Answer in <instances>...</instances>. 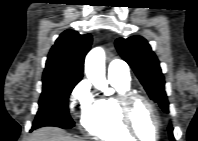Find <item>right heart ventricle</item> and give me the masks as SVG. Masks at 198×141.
<instances>
[{
  "instance_id": "e07e8e85",
  "label": "right heart ventricle",
  "mask_w": 198,
  "mask_h": 141,
  "mask_svg": "<svg viewBox=\"0 0 198 141\" xmlns=\"http://www.w3.org/2000/svg\"><path fill=\"white\" fill-rule=\"evenodd\" d=\"M117 94L93 102L83 118V127L92 136L104 141H132L133 136L123 126L117 105V97L130 91V83L110 80Z\"/></svg>"
}]
</instances>
